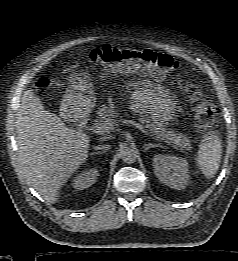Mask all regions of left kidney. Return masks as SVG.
I'll return each instance as SVG.
<instances>
[{"mask_svg": "<svg viewBox=\"0 0 238 261\" xmlns=\"http://www.w3.org/2000/svg\"><path fill=\"white\" fill-rule=\"evenodd\" d=\"M154 174L160 182L176 190H182L189 182L186 159L156 154L153 158Z\"/></svg>", "mask_w": 238, "mask_h": 261, "instance_id": "5707ae66", "label": "left kidney"}]
</instances>
